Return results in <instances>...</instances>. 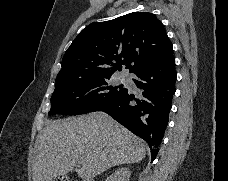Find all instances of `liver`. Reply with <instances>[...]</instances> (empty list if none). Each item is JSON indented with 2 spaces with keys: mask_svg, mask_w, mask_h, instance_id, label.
I'll list each match as a JSON object with an SVG mask.
<instances>
[{
  "mask_svg": "<svg viewBox=\"0 0 228 181\" xmlns=\"http://www.w3.org/2000/svg\"><path fill=\"white\" fill-rule=\"evenodd\" d=\"M146 149L145 141L106 113L49 121L35 143L32 181H53L77 163L78 177L92 181L111 167L140 163Z\"/></svg>",
  "mask_w": 228,
  "mask_h": 181,
  "instance_id": "1",
  "label": "liver"
}]
</instances>
